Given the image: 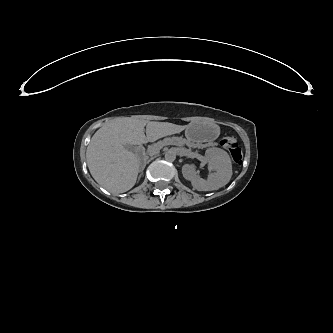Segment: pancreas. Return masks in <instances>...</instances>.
<instances>
[{"instance_id":"1","label":"pancreas","mask_w":333,"mask_h":333,"mask_svg":"<svg viewBox=\"0 0 333 333\" xmlns=\"http://www.w3.org/2000/svg\"><path fill=\"white\" fill-rule=\"evenodd\" d=\"M165 142H167V143H174V144H180V145L186 144L189 147H196L193 143L188 142L186 139H166L162 143H165ZM162 143H158L157 145H153V146L149 147L147 153L149 155L156 154L159 151L160 146H161Z\"/></svg>"}]
</instances>
